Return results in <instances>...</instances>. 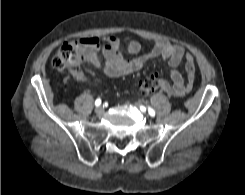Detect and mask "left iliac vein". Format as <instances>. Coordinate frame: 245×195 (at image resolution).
Listing matches in <instances>:
<instances>
[{"mask_svg": "<svg viewBox=\"0 0 245 195\" xmlns=\"http://www.w3.org/2000/svg\"><path fill=\"white\" fill-rule=\"evenodd\" d=\"M134 105L136 106V107H139V104L138 103H134ZM141 109V111H142V113L144 114V115H146V116H148L147 114H146V111H145V109L143 108H140Z\"/></svg>", "mask_w": 245, "mask_h": 195, "instance_id": "obj_1", "label": "left iliac vein"}]
</instances>
